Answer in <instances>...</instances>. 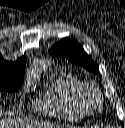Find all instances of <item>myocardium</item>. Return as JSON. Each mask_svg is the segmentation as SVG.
Segmentation results:
<instances>
[{"mask_svg": "<svg viewBox=\"0 0 125 128\" xmlns=\"http://www.w3.org/2000/svg\"><path fill=\"white\" fill-rule=\"evenodd\" d=\"M84 100L91 112H96L101 108V96L97 89L92 85H84Z\"/></svg>", "mask_w": 125, "mask_h": 128, "instance_id": "f54148a6", "label": "myocardium"}]
</instances>
